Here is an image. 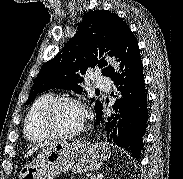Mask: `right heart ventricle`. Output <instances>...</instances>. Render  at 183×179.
I'll return each mask as SVG.
<instances>
[{
  "label": "right heart ventricle",
  "instance_id": "1",
  "mask_svg": "<svg viewBox=\"0 0 183 179\" xmlns=\"http://www.w3.org/2000/svg\"><path fill=\"white\" fill-rule=\"evenodd\" d=\"M53 98H55L53 93H44L33 102L24 125V133L29 140L41 142L49 138L40 127V116L45 106Z\"/></svg>",
  "mask_w": 183,
  "mask_h": 179
}]
</instances>
